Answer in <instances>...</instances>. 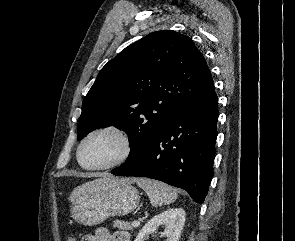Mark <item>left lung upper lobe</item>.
<instances>
[{
  "instance_id": "5c2ea615",
  "label": "left lung upper lobe",
  "mask_w": 295,
  "mask_h": 241,
  "mask_svg": "<svg viewBox=\"0 0 295 241\" xmlns=\"http://www.w3.org/2000/svg\"><path fill=\"white\" fill-rule=\"evenodd\" d=\"M213 88L206 61L189 37L172 30L150 33L99 72L82 103L78 140L114 125L129 136V161L174 114Z\"/></svg>"
}]
</instances>
